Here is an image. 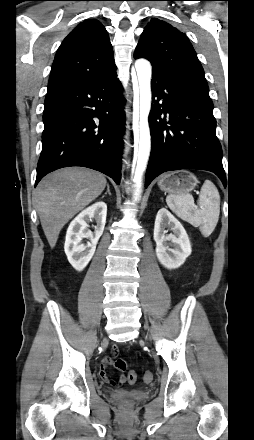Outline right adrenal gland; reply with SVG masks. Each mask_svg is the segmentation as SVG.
<instances>
[{
  "label": "right adrenal gland",
  "instance_id": "1",
  "mask_svg": "<svg viewBox=\"0 0 254 440\" xmlns=\"http://www.w3.org/2000/svg\"><path fill=\"white\" fill-rule=\"evenodd\" d=\"M106 194H109V195L111 196V192H110L109 184H107V191L104 193V195L102 196V198L105 197Z\"/></svg>",
  "mask_w": 254,
  "mask_h": 440
}]
</instances>
